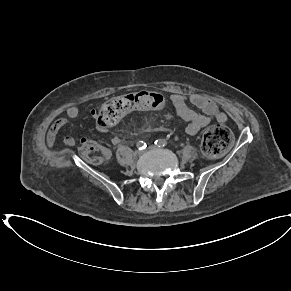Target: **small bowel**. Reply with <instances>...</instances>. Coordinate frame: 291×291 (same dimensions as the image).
I'll use <instances>...</instances> for the list:
<instances>
[{"label": "small bowel", "instance_id": "small-bowel-1", "mask_svg": "<svg viewBox=\"0 0 291 291\" xmlns=\"http://www.w3.org/2000/svg\"><path fill=\"white\" fill-rule=\"evenodd\" d=\"M170 103L175 113L187 122L185 131L189 135H195L213 121L218 123H225L227 121L226 114L219 110L217 104L212 99L199 93H192L188 97L178 93L172 94L170 96ZM80 113L81 108L78 105H72L67 109L65 116L60 117L53 122L46 137L48 148L52 149L54 147L59 131L71 120L77 118ZM92 115L97 117L98 112L93 110ZM87 141L88 140L86 138H82L80 140L81 143H85ZM120 142V136H114L112 138V143L114 145H117ZM75 143L76 140L72 136H67L64 139V144L67 147H72ZM107 156H110V152L108 150Z\"/></svg>", "mask_w": 291, "mask_h": 291}]
</instances>
